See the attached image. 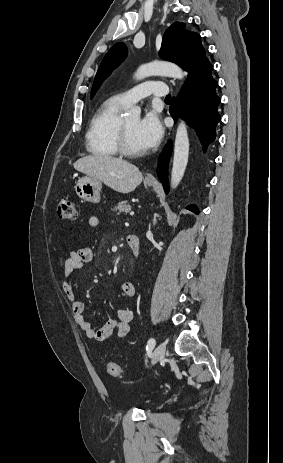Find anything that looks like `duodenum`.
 <instances>
[{
    "label": "duodenum",
    "instance_id": "1",
    "mask_svg": "<svg viewBox=\"0 0 283 463\" xmlns=\"http://www.w3.org/2000/svg\"><path fill=\"white\" fill-rule=\"evenodd\" d=\"M127 242L131 249L133 258L136 259L139 255V250H140L139 238L136 235H129L127 237Z\"/></svg>",
    "mask_w": 283,
    "mask_h": 463
}]
</instances>
